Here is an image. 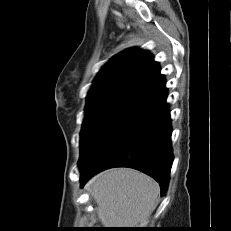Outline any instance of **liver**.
<instances>
[{
	"label": "liver",
	"mask_w": 231,
	"mask_h": 231,
	"mask_svg": "<svg viewBox=\"0 0 231 231\" xmlns=\"http://www.w3.org/2000/svg\"><path fill=\"white\" fill-rule=\"evenodd\" d=\"M105 228H145L160 187L133 169L116 168L99 173L87 183Z\"/></svg>",
	"instance_id": "1"
}]
</instances>
